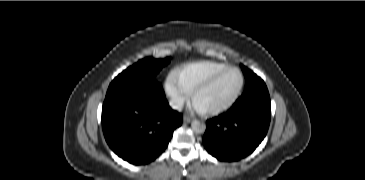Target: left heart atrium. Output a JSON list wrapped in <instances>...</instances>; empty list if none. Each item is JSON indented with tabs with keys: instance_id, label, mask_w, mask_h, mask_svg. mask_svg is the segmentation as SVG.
I'll return each mask as SVG.
<instances>
[{
	"instance_id": "left-heart-atrium-1",
	"label": "left heart atrium",
	"mask_w": 365,
	"mask_h": 180,
	"mask_svg": "<svg viewBox=\"0 0 365 180\" xmlns=\"http://www.w3.org/2000/svg\"><path fill=\"white\" fill-rule=\"evenodd\" d=\"M193 107H194V109L195 110H197V111H200V112H202L203 111V109L202 108H200L196 103H194L193 104Z\"/></svg>"
}]
</instances>
